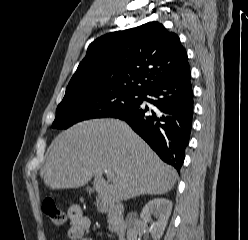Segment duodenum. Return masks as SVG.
Segmentation results:
<instances>
[{
    "instance_id": "410a0bca",
    "label": "duodenum",
    "mask_w": 248,
    "mask_h": 240,
    "mask_svg": "<svg viewBox=\"0 0 248 240\" xmlns=\"http://www.w3.org/2000/svg\"><path fill=\"white\" fill-rule=\"evenodd\" d=\"M99 210L110 215L111 224L118 240H126L127 225L124 220V206L118 202L100 201Z\"/></svg>"
}]
</instances>
